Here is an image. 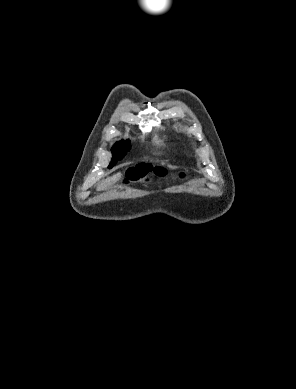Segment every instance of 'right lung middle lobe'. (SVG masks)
Listing matches in <instances>:
<instances>
[{"mask_svg": "<svg viewBox=\"0 0 296 389\" xmlns=\"http://www.w3.org/2000/svg\"><path fill=\"white\" fill-rule=\"evenodd\" d=\"M130 150V142L129 140H122L114 145L112 148L113 152V158L111 161V164L109 165V168H111L113 165L116 164L117 161L121 160L127 151Z\"/></svg>", "mask_w": 296, "mask_h": 389, "instance_id": "obj_1", "label": "right lung middle lobe"}]
</instances>
